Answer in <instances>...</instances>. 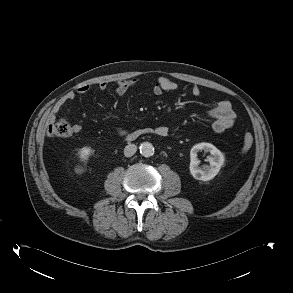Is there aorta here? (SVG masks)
Masks as SVG:
<instances>
[{
    "label": "aorta",
    "instance_id": "aorta-1",
    "mask_svg": "<svg viewBox=\"0 0 293 293\" xmlns=\"http://www.w3.org/2000/svg\"><path fill=\"white\" fill-rule=\"evenodd\" d=\"M140 153L144 157H150L154 154V147L149 142H143L140 146Z\"/></svg>",
    "mask_w": 293,
    "mask_h": 293
}]
</instances>
